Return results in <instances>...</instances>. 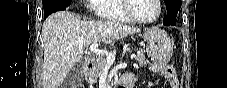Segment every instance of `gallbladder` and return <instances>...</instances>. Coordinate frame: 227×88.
I'll use <instances>...</instances> for the list:
<instances>
[{
  "label": "gallbladder",
  "mask_w": 227,
  "mask_h": 88,
  "mask_svg": "<svg viewBox=\"0 0 227 88\" xmlns=\"http://www.w3.org/2000/svg\"><path fill=\"white\" fill-rule=\"evenodd\" d=\"M85 64V60L81 59L75 66L68 72L62 86L63 88H72L80 85L83 80L82 68Z\"/></svg>",
  "instance_id": "1"
}]
</instances>
